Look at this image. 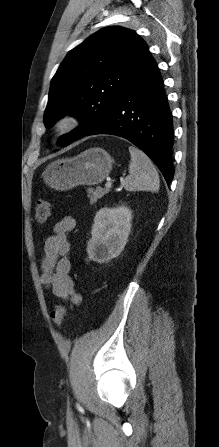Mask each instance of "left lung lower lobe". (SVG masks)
Returning a JSON list of instances; mask_svg holds the SVG:
<instances>
[{
    "instance_id": "1",
    "label": "left lung lower lobe",
    "mask_w": 219,
    "mask_h": 447,
    "mask_svg": "<svg viewBox=\"0 0 219 447\" xmlns=\"http://www.w3.org/2000/svg\"><path fill=\"white\" fill-rule=\"evenodd\" d=\"M158 66L147 51L135 74L101 121L87 135L123 137L144 151L162 172L173 179L172 115Z\"/></svg>"
}]
</instances>
